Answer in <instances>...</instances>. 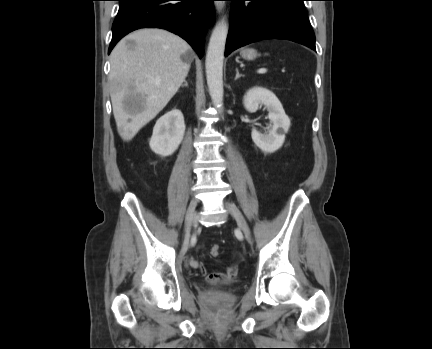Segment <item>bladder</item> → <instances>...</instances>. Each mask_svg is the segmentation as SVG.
Here are the masks:
<instances>
[{
  "mask_svg": "<svg viewBox=\"0 0 432 349\" xmlns=\"http://www.w3.org/2000/svg\"><path fill=\"white\" fill-rule=\"evenodd\" d=\"M219 293H206L204 295L205 298H218L219 297Z\"/></svg>",
  "mask_w": 432,
  "mask_h": 349,
  "instance_id": "1",
  "label": "bladder"
}]
</instances>
